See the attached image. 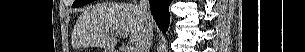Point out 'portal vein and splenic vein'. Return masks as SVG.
I'll return each instance as SVG.
<instances>
[{
	"mask_svg": "<svg viewBox=\"0 0 305 52\" xmlns=\"http://www.w3.org/2000/svg\"><path fill=\"white\" fill-rule=\"evenodd\" d=\"M118 35H119V37H123V38H125L127 36L126 33H122V34H118ZM126 52H133V48L132 47H127Z\"/></svg>",
	"mask_w": 305,
	"mask_h": 52,
	"instance_id": "portal-vein-and-splenic-vein-1",
	"label": "portal vein and splenic vein"
}]
</instances>
